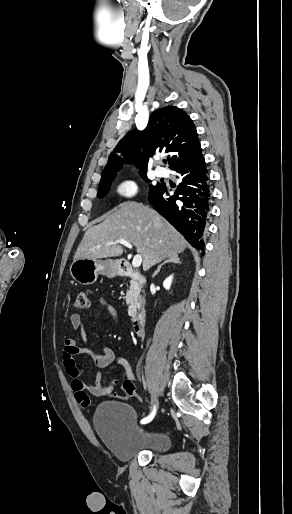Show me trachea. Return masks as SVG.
Returning <instances> with one entry per match:
<instances>
[{
    "instance_id": "1",
    "label": "trachea",
    "mask_w": 292,
    "mask_h": 514,
    "mask_svg": "<svg viewBox=\"0 0 292 514\" xmlns=\"http://www.w3.org/2000/svg\"><path fill=\"white\" fill-rule=\"evenodd\" d=\"M168 160V159H167ZM167 160H163V162L166 164L167 163Z\"/></svg>"
}]
</instances>
